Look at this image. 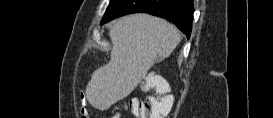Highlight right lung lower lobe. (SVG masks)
<instances>
[{
	"instance_id": "98d812e1",
	"label": "right lung lower lobe",
	"mask_w": 273,
	"mask_h": 118,
	"mask_svg": "<svg viewBox=\"0 0 273 118\" xmlns=\"http://www.w3.org/2000/svg\"><path fill=\"white\" fill-rule=\"evenodd\" d=\"M149 13L175 24L188 38L191 34L194 13L193 0H121L101 24L114 18L133 14Z\"/></svg>"
}]
</instances>
